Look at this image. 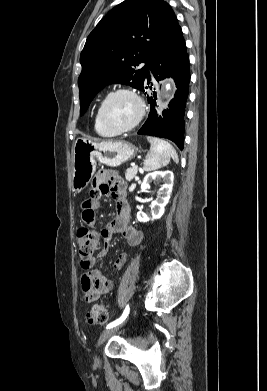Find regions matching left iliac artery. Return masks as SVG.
Segmentation results:
<instances>
[{
  "label": "left iliac artery",
  "instance_id": "1",
  "mask_svg": "<svg viewBox=\"0 0 267 391\" xmlns=\"http://www.w3.org/2000/svg\"><path fill=\"white\" fill-rule=\"evenodd\" d=\"M128 314H129V305L126 306V308H125L123 314L121 315V317L118 318L117 320H115V321L109 323V324L107 325L106 328L109 329V328H112V327H114V326H116V325L122 323V322L126 319V317L128 316Z\"/></svg>",
  "mask_w": 267,
  "mask_h": 391
}]
</instances>
